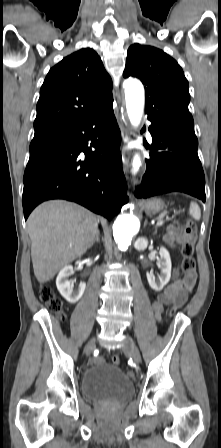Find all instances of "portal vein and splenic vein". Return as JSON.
<instances>
[{"label": "portal vein and splenic vein", "mask_w": 221, "mask_h": 448, "mask_svg": "<svg viewBox=\"0 0 221 448\" xmlns=\"http://www.w3.org/2000/svg\"><path fill=\"white\" fill-rule=\"evenodd\" d=\"M164 224V221L163 220H159L157 223H156V226L157 227H160V226H162Z\"/></svg>", "instance_id": "obj_1"}]
</instances>
